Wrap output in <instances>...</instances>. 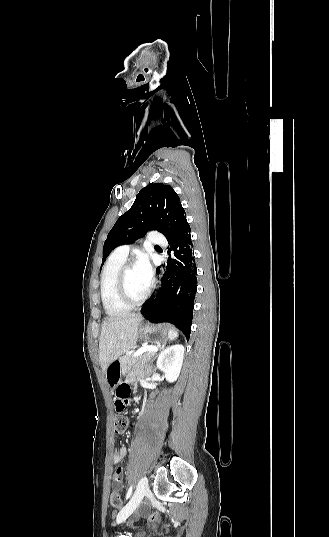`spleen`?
<instances>
[{"label": "spleen", "instance_id": "1", "mask_svg": "<svg viewBox=\"0 0 329 537\" xmlns=\"http://www.w3.org/2000/svg\"><path fill=\"white\" fill-rule=\"evenodd\" d=\"M178 337V331L175 328L169 330V339L171 341L175 340Z\"/></svg>", "mask_w": 329, "mask_h": 537}]
</instances>
